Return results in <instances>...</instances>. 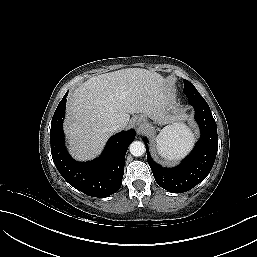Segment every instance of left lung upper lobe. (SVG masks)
<instances>
[{
	"mask_svg": "<svg viewBox=\"0 0 257 257\" xmlns=\"http://www.w3.org/2000/svg\"><path fill=\"white\" fill-rule=\"evenodd\" d=\"M184 81V93L189 99H201L204 100V98L200 95V93L197 91V89L194 87L192 83H190L187 80Z\"/></svg>",
	"mask_w": 257,
	"mask_h": 257,
	"instance_id": "1",
	"label": "left lung upper lobe"
}]
</instances>
